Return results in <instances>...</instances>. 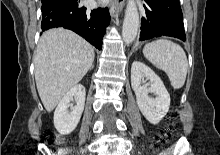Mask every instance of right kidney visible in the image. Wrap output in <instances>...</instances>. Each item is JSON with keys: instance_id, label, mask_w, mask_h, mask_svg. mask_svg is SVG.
Instances as JSON below:
<instances>
[{"instance_id": "obj_1", "label": "right kidney", "mask_w": 220, "mask_h": 155, "mask_svg": "<svg viewBox=\"0 0 220 155\" xmlns=\"http://www.w3.org/2000/svg\"><path fill=\"white\" fill-rule=\"evenodd\" d=\"M85 88L78 84L73 86L62 98L54 112V126L62 134H70L80 121L85 105ZM75 100L76 105L68 110L70 102Z\"/></svg>"}]
</instances>
